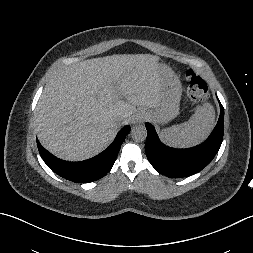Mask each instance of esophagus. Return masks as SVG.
Instances as JSON below:
<instances>
[{
  "label": "esophagus",
  "instance_id": "34e87169",
  "mask_svg": "<svg viewBox=\"0 0 253 253\" xmlns=\"http://www.w3.org/2000/svg\"><path fill=\"white\" fill-rule=\"evenodd\" d=\"M145 119H146L145 113L143 111H138L133 117V123L134 124L141 123L145 121Z\"/></svg>",
  "mask_w": 253,
  "mask_h": 253
}]
</instances>
